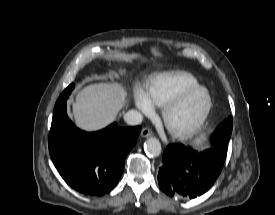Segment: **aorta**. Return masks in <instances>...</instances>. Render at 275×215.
<instances>
[{"instance_id": "obj_1", "label": "aorta", "mask_w": 275, "mask_h": 215, "mask_svg": "<svg viewBox=\"0 0 275 215\" xmlns=\"http://www.w3.org/2000/svg\"><path fill=\"white\" fill-rule=\"evenodd\" d=\"M146 154L150 157H158L161 154V144L156 138H149L144 145Z\"/></svg>"}]
</instances>
